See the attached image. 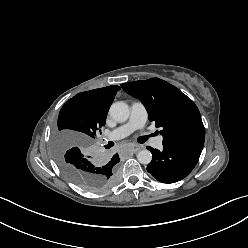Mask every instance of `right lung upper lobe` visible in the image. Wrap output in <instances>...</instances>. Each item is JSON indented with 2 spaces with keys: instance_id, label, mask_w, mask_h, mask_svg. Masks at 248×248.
Masks as SVG:
<instances>
[{
  "instance_id": "obj_1",
  "label": "right lung upper lobe",
  "mask_w": 248,
  "mask_h": 248,
  "mask_svg": "<svg viewBox=\"0 0 248 248\" xmlns=\"http://www.w3.org/2000/svg\"><path fill=\"white\" fill-rule=\"evenodd\" d=\"M118 90H120V87L113 85L79 93L77 96L82 97L85 100V105L91 112L98 115H105L107 117L110 105L112 104ZM112 160L118 161V155L115 154L112 157Z\"/></svg>"
}]
</instances>
